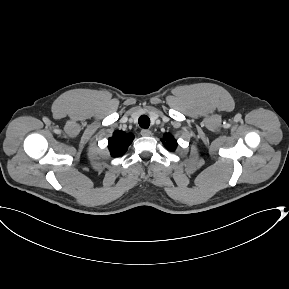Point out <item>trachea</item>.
<instances>
[{
	"instance_id": "trachea-1",
	"label": "trachea",
	"mask_w": 289,
	"mask_h": 289,
	"mask_svg": "<svg viewBox=\"0 0 289 289\" xmlns=\"http://www.w3.org/2000/svg\"><path fill=\"white\" fill-rule=\"evenodd\" d=\"M139 126L141 128H148L150 126V118L147 115L140 116L139 120Z\"/></svg>"
}]
</instances>
